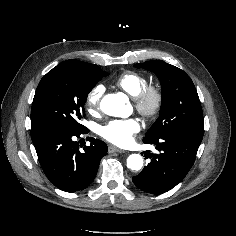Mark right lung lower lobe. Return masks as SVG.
Wrapping results in <instances>:
<instances>
[{"label":"right lung lower lobe","instance_id":"1","mask_svg":"<svg viewBox=\"0 0 236 236\" xmlns=\"http://www.w3.org/2000/svg\"><path fill=\"white\" fill-rule=\"evenodd\" d=\"M67 132L56 128L31 129V138L38 160L49 181L65 192L87 188L94 180L100 160L107 154V145L90 139V146H80L75 138L88 133Z\"/></svg>","mask_w":236,"mask_h":236}]
</instances>
